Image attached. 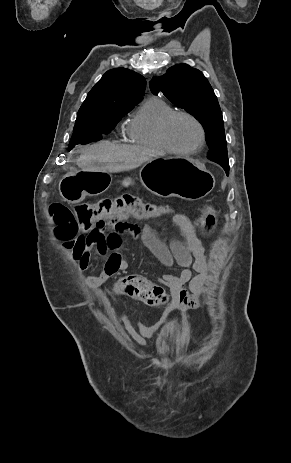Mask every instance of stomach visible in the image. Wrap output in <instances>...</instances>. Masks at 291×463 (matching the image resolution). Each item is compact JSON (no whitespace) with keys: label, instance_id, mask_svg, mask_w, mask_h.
Masks as SVG:
<instances>
[{"label":"stomach","instance_id":"0dacf381","mask_svg":"<svg viewBox=\"0 0 291 463\" xmlns=\"http://www.w3.org/2000/svg\"><path fill=\"white\" fill-rule=\"evenodd\" d=\"M142 182L154 194L176 196L194 201L208 195L215 186L214 176L191 158L183 156L157 157L142 168ZM108 175L82 170L64 176L59 182L62 198L78 203L86 195H98L108 189Z\"/></svg>","mask_w":291,"mask_h":463}]
</instances>
